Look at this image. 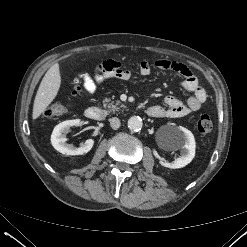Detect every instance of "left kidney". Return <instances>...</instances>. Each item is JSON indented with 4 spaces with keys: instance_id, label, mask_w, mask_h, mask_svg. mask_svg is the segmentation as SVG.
<instances>
[{
    "instance_id": "5707ae66",
    "label": "left kidney",
    "mask_w": 247,
    "mask_h": 247,
    "mask_svg": "<svg viewBox=\"0 0 247 247\" xmlns=\"http://www.w3.org/2000/svg\"><path fill=\"white\" fill-rule=\"evenodd\" d=\"M174 132L170 136V147L174 150L181 149V156L175 161L162 165L170 169H178L189 164L195 156V138L191 131L184 127H173Z\"/></svg>"
}]
</instances>
